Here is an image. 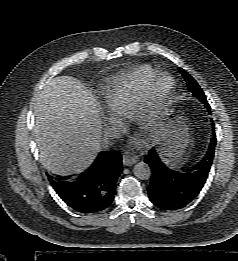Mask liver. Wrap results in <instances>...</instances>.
I'll return each instance as SVG.
<instances>
[{"instance_id":"1","label":"liver","mask_w":238,"mask_h":261,"mask_svg":"<svg viewBox=\"0 0 238 261\" xmlns=\"http://www.w3.org/2000/svg\"><path fill=\"white\" fill-rule=\"evenodd\" d=\"M34 138L42 165L71 175L88 168L101 150L102 122L95 97L78 79L50 80L35 105Z\"/></svg>"}]
</instances>
